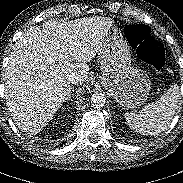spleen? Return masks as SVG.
I'll return each mask as SVG.
<instances>
[{"label": "spleen", "instance_id": "spleen-1", "mask_svg": "<svg viewBox=\"0 0 183 183\" xmlns=\"http://www.w3.org/2000/svg\"><path fill=\"white\" fill-rule=\"evenodd\" d=\"M179 87L171 86L159 100L144 106L138 113H125L124 117L134 131L142 135H157L169 126L179 102Z\"/></svg>", "mask_w": 183, "mask_h": 183}]
</instances>
